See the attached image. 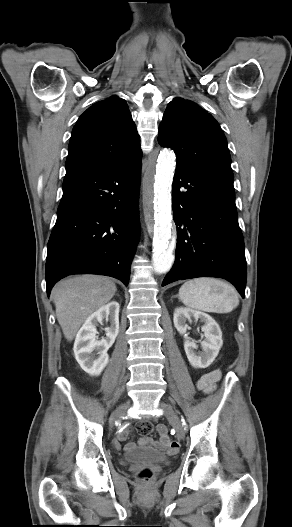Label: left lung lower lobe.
<instances>
[{
	"label": "left lung lower lobe",
	"mask_w": 292,
	"mask_h": 527,
	"mask_svg": "<svg viewBox=\"0 0 292 527\" xmlns=\"http://www.w3.org/2000/svg\"><path fill=\"white\" fill-rule=\"evenodd\" d=\"M172 199L176 260L162 286L179 279L219 277L244 298L246 260L233 179L177 166Z\"/></svg>",
	"instance_id": "left-lung-lower-lobe-1"
}]
</instances>
